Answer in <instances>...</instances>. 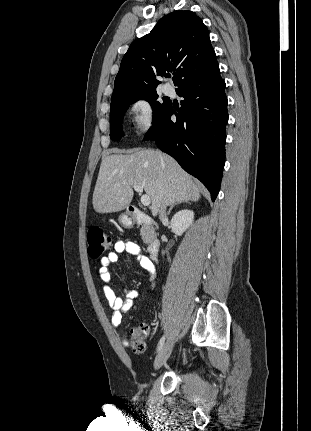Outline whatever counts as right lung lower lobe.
Returning <instances> with one entry per match:
<instances>
[{
    "label": "right lung lower lobe",
    "instance_id": "obj_1",
    "mask_svg": "<svg viewBox=\"0 0 311 431\" xmlns=\"http://www.w3.org/2000/svg\"><path fill=\"white\" fill-rule=\"evenodd\" d=\"M225 82L219 67L176 89L184 98L178 112L173 105L153 120L144 140L171 155L198 178L215 200L225 164V127L228 122ZM176 115V121L171 115Z\"/></svg>",
    "mask_w": 311,
    "mask_h": 431
}]
</instances>
